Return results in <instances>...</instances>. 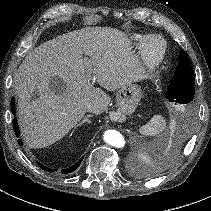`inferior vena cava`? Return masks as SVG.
<instances>
[{
  "label": "inferior vena cava",
  "instance_id": "1",
  "mask_svg": "<svg viewBox=\"0 0 211 211\" xmlns=\"http://www.w3.org/2000/svg\"><path fill=\"white\" fill-rule=\"evenodd\" d=\"M86 111L93 113L94 112V105L92 103H87Z\"/></svg>",
  "mask_w": 211,
  "mask_h": 211
}]
</instances>
